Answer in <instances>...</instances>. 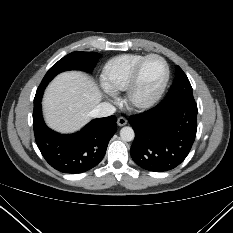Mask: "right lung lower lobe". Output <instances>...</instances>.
Instances as JSON below:
<instances>
[{
	"label": "right lung lower lobe",
	"mask_w": 233,
	"mask_h": 233,
	"mask_svg": "<svg viewBox=\"0 0 233 233\" xmlns=\"http://www.w3.org/2000/svg\"><path fill=\"white\" fill-rule=\"evenodd\" d=\"M44 89L34 98L33 128L37 146L45 160L64 173H82L95 167L104 157L115 134L114 115L92 120L81 131L63 135L49 129L42 118L41 99Z\"/></svg>",
	"instance_id": "obj_1"
}]
</instances>
